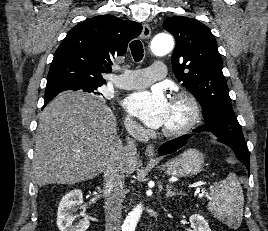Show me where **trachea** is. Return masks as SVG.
<instances>
[{
	"mask_svg": "<svg viewBox=\"0 0 268 231\" xmlns=\"http://www.w3.org/2000/svg\"><path fill=\"white\" fill-rule=\"evenodd\" d=\"M130 50L133 56V59L136 62H139L142 60L144 56V49L142 42L140 40H134L130 43Z\"/></svg>",
	"mask_w": 268,
	"mask_h": 231,
	"instance_id": "1",
	"label": "trachea"
}]
</instances>
